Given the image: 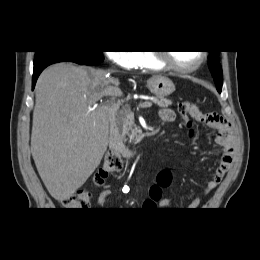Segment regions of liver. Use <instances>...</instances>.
I'll use <instances>...</instances> for the list:
<instances>
[{"label":"liver","mask_w":260,"mask_h":260,"mask_svg":"<svg viewBox=\"0 0 260 260\" xmlns=\"http://www.w3.org/2000/svg\"><path fill=\"white\" fill-rule=\"evenodd\" d=\"M117 86L107 72L56 63L39 76L31 153L50 195L71 197L99 166L108 146V108L93 105Z\"/></svg>","instance_id":"1"}]
</instances>
